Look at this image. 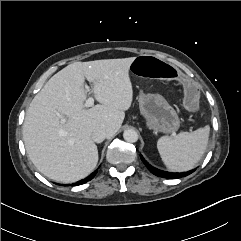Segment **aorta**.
<instances>
[{"label": "aorta", "mask_w": 241, "mask_h": 241, "mask_svg": "<svg viewBox=\"0 0 241 241\" xmlns=\"http://www.w3.org/2000/svg\"><path fill=\"white\" fill-rule=\"evenodd\" d=\"M123 138L127 142L134 143L138 140V134L135 130L128 129L124 131Z\"/></svg>", "instance_id": "1"}]
</instances>
